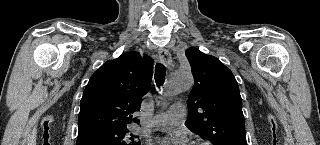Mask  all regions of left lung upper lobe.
I'll list each match as a JSON object with an SVG mask.
<instances>
[{
    "instance_id": "1",
    "label": "left lung upper lobe",
    "mask_w": 320,
    "mask_h": 145,
    "mask_svg": "<svg viewBox=\"0 0 320 145\" xmlns=\"http://www.w3.org/2000/svg\"><path fill=\"white\" fill-rule=\"evenodd\" d=\"M194 86L186 126L213 145H247L242 99L233 73L216 57L191 47L185 52Z\"/></svg>"
}]
</instances>
